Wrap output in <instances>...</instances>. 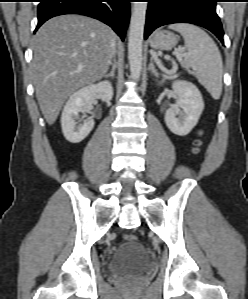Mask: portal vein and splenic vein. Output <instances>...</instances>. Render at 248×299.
I'll list each match as a JSON object with an SVG mask.
<instances>
[{
	"mask_svg": "<svg viewBox=\"0 0 248 299\" xmlns=\"http://www.w3.org/2000/svg\"><path fill=\"white\" fill-rule=\"evenodd\" d=\"M168 73L173 74V71H169ZM174 77H176V75H174Z\"/></svg>",
	"mask_w": 248,
	"mask_h": 299,
	"instance_id": "18ae733b",
	"label": "portal vein and splenic vein"
}]
</instances>
